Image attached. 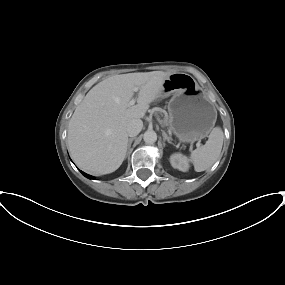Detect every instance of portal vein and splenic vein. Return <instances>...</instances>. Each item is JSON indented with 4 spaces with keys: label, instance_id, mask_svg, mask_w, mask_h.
Returning a JSON list of instances; mask_svg holds the SVG:
<instances>
[{
    "label": "portal vein and splenic vein",
    "instance_id": "1",
    "mask_svg": "<svg viewBox=\"0 0 285 285\" xmlns=\"http://www.w3.org/2000/svg\"><path fill=\"white\" fill-rule=\"evenodd\" d=\"M134 92H137L139 90L138 87H134L133 88ZM136 100L135 99H131L129 102V106H133L135 104ZM198 146H200V144L198 143Z\"/></svg>",
    "mask_w": 285,
    "mask_h": 285
}]
</instances>
